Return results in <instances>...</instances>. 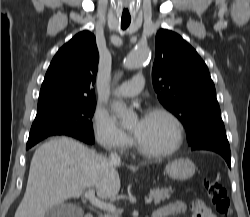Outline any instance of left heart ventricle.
Segmentation results:
<instances>
[{
  "instance_id": "left-heart-ventricle-1",
  "label": "left heart ventricle",
  "mask_w": 250,
  "mask_h": 217,
  "mask_svg": "<svg viewBox=\"0 0 250 217\" xmlns=\"http://www.w3.org/2000/svg\"><path fill=\"white\" fill-rule=\"evenodd\" d=\"M131 129L137 142L151 151L164 150L174 141V128L170 121L162 115H147L142 124L135 121Z\"/></svg>"
}]
</instances>
